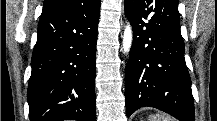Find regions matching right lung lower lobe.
Returning a JSON list of instances; mask_svg holds the SVG:
<instances>
[{
	"label": "right lung lower lobe",
	"mask_w": 217,
	"mask_h": 121,
	"mask_svg": "<svg viewBox=\"0 0 217 121\" xmlns=\"http://www.w3.org/2000/svg\"><path fill=\"white\" fill-rule=\"evenodd\" d=\"M100 0L42 11L27 101L30 121H96Z\"/></svg>",
	"instance_id": "right-lung-lower-lobe-1"
}]
</instances>
